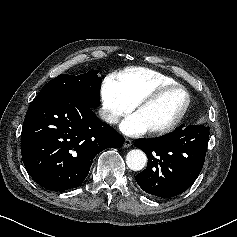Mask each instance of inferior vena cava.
Masks as SVG:
<instances>
[{"mask_svg": "<svg viewBox=\"0 0 237 237\" xmlns=\"http://www.w3.org/2000/svg\"><path fill=\"white\" fill-rule=\"evenodd\" d=\"M99 116L108 123H111V124L118 123V115H116L115 113L110 112L107 109H103V108L100 109L99 110Z\"/></svg>", "mask_w": 237, "mask_h": 237, "instance_id": "602c4592", "label": "inferior vena cava"}]
</instances>
